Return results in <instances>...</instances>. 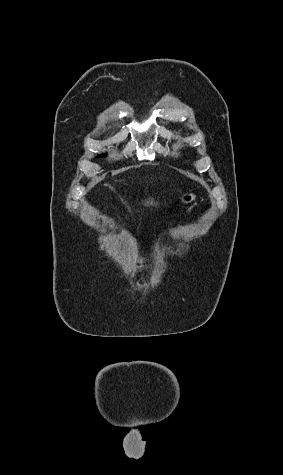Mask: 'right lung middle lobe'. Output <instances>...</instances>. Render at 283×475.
Returning a JSON list of instances; mask_svg holds the SVG:
<instances>
[{
  "label": "right lung middle lobe",
  "mask_w": 283,
  "mask_h": 475,
  "mask_svg": "<svg viewBox=\"0 0 283 475\" xmlns=\"http://www.w3.org/2000/svg\"><path fill=\"white\" fill-rule=\"evenodd\" d=\"M104 156H105V155H100V156L98 155L97 157H104Z\"/></svg>",
  "instance_id": "right-lung-middle-lobe-1"
}]
</instances>
